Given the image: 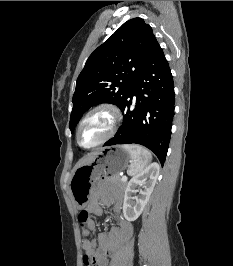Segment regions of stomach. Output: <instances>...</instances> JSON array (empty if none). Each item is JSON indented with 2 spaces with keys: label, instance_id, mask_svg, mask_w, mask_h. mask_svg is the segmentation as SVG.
<instances>
[{
  "label": "stomach",
  "instance_id": "stomach-1",
  "mask_svg": "<svg viewBox=\"0 0 233 266\" xmlns=\"http://www.w3.org/2000/svg\"><path fill=\"white\" fill-rule=\"evenodd\" d=\"M131 162L123 146L102 147L92 161L76 168L69 182L73 200L79 209L84 208L93 188L101 180H110L123 172Z\"/></svg>",
  "mask_w": 233,
  "mask_h": 266
}]
</instances>
